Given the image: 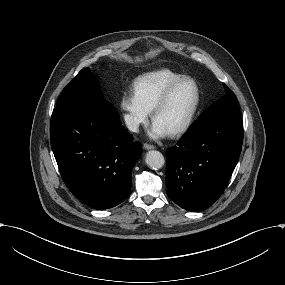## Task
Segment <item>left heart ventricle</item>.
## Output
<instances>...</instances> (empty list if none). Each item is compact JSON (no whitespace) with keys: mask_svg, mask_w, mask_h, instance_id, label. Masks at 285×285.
I'll return each mask as SVG.
<instances>
[{"mask_svg":"<svg viewBox=\"0 0 285 285\" xmlns=\"http://www.w3.org/2000/svg\"><path fill=\"white\" fill-rule=\"evenodd\" d=\"M196 96L197 91L192 82L181 84L168 103L156 114L155 120L171 131L188 117L195 104Z\"/></svg>","mask_w":285,"mask_h":285,"instance_id":"left-heart-ventricle-1","label":"left heart ventricle"}]
</instances>
